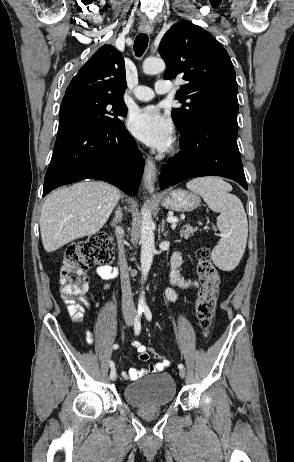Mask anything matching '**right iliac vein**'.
<instances>
[{
	"mask_svg": "<svg viewBox=\"0 0 294 462\" xmlns=\"http://www.w3.org/2000/svg\"><path fill=\"white\" fill-rule=\"evenodd\" d=\"M125 323L127 326H131L133 324V316L132 315H127L125 317ZM117 376H115L114 378H112L111 380H116Z\"/></svg>",
	"mask_w": 294,
	"mask_h": 462,
	"instance_id": "1",
	"label": "right iliac vein"
}]
</instances>
